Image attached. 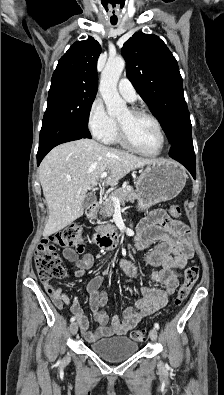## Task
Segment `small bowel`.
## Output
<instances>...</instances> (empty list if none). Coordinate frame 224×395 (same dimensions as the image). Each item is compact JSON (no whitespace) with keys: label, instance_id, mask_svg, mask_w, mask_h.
<instances>
[{"label":"small bowel","instance_id":"c3829d8e","mask_svg":"<svg viewBox=\"0 0 224 395\" xmlns=\"http://www.w3.org/2000/svg\"><path fill=\"white\" fill-rule=\"evenodd\" d=\"M155 242L159 244L147 253L145 262L153 267H161L151 274L150 279L163 284L165 288L155 289L141 284L138 289L139 300L124 309L121 315L114 316L109 324L108 315L103 309L108 300L106 292L101 290L104 278L94 277L86 287L90 308L99 324L94 331L89 329L88 319L76 298L71 300L61 289H55L49 281H43L46 292L57 308L70 306L73 317L77 319L82 335L88 342H96L113 335H126L143 318L167 304L169 296L179 284L181 271L193 256L194 249L188 227L181 221L171 220L161 209L152 211L139 222L135 237L138 248H145ZM62 254L75 266L76 277H83L86 270L93 266L94 258L91 254L79 256L76 250L68 247L63 248ZM121 264L130 277L136 276V268L130 261L124 259Z\"/></svg>","mask_w":224,"mask_h":395}]
</instances>
